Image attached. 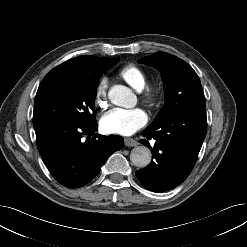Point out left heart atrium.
Returning <instances> with one entry per match:
<instances>
[{"label":"left heart atrium","instance_id":"39dd6f15","mask_svg":"<svg viewBox=\"0 0 247 247\" xmlns=\"http://www.w3.org/2000/svg\"><path fill=\"white\" fill-rule=\"evenodd\" d=\"M147 121V114L141 108H114L102 116L100 126L106 133L129 136L142 128Z\"/></svg>","mask_w":247,"mask_h":247}]
</instances>
